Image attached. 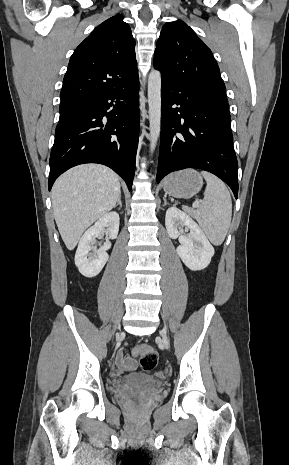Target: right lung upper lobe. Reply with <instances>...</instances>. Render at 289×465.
<instances>
[{"label": "right lung upper lobe", "mask_w": 289, "mask_h": 465, "mask_svg": "<svg viewBox=\"0 0 289 465\" xmlns=\"http://www.w3.org/2000/svg\"><path fill=\"white\" fill-rule=\"evenodd\" d=\"M137 76L135 41L129 25L117 14L97 26L71 56L61 105L110 93Z\"/></svg>", "instance_id": "right-lung-upper-lobe-1"}]
</instances>
